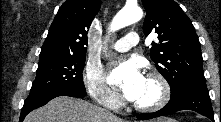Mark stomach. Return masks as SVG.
I'll use <instances>...</instances> for the list:
<instances>
[{"label": "stomach", "mask_w": 221, "mask_h": 122, "mask_svg": "<svg viewBox=\"0 0 221 122\" xmlns=\"http://www.w3.org/2000/svg\"><path fill=\"white\" fill-rule=\"evenodd\" d=\"M153 122H176V121L170 118H159L154 120Z\"/></svg>", "instance_id": "0dacf381"}]
</instances>
